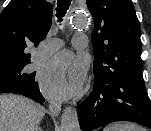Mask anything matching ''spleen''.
<instances>
[{"label":"spleen","mask_w":151,"mask_h":131,"mask_svg":"<svg viewBox=\"0 0 151 131\" xmlns=\"http://www.w3.org/2000/svg\"><path fill=\"white\" fill-rule=\"evenodd\" d=\"M103 131H144V129L135 124L114 123L106 126Z\"/></svg>","instance_id":"spleen-1"}]
</instances>
